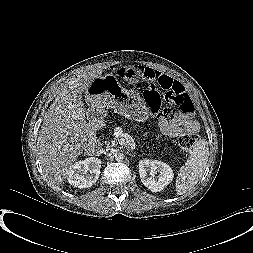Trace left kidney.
Here are the masks:
<instances>
[{"mask_svg": "<svg viewBox=\"0 0 253 253\" xmlns=\"http://www.w3.org/2000/svg\"><path fill=\"white\" fill-rule=\"evenodd\" d=\"M142 183L152 192L163 190L174 177L171 167L158 160L143 159L139 162Z\"/></svg>", "mask_w": 253, "mask_h": 253, "instance_id": "5707ae66", "label": "left kidney"}]
</instances>
